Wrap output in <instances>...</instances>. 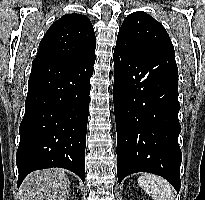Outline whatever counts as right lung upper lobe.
<instances>
[{
  "instance_id": "cb5924a9",
  "label": "right lung upper lobe",
  "mask_w": 205,
  "mask_h": 200,
  "mask_svg": "<svg viewBox=\"0 0 205 200\" xmlns=\"http://www.w3.org/2000/svg\"><path fill=\"white\" fill-rule=\"evenodd\" d=\"M95 48V33L89 18L76 13L66 14L47 30L36 59H76L94 52Z\"/></svg>"
}]
</instances>
